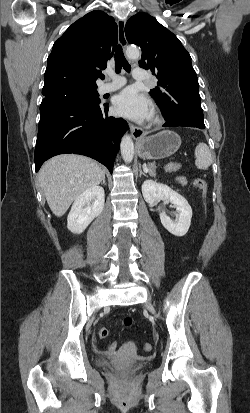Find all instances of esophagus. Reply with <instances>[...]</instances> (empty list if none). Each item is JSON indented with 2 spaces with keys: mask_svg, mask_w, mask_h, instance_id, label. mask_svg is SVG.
Wrapping results in <instances>:
<instances>
[{
  "mask_svg": "<svg viewBox=\"0 0 250 413\" xmlns=\"http://www.w3.org/2000/svg\"><path fill=\"white\" fill-rule=\"evenodd\" d=\"M125 24H126L125 19H120L117 22L118 39H119L120 45L123 48H125L127 46V39H126V36H125ZM128 124H129V128H130V131H131V135L134 139H138V138L143 136L144 131L140 127H138V126H136L132 123H128Z\"/></svg>",
  "mask_w": 250,
  "mask_h": 413,
  "instance_id": "1",
  "label": "esophagus"
}]
</instances>
